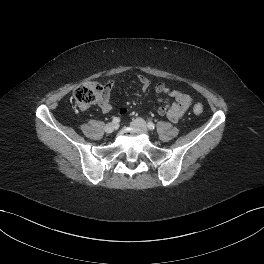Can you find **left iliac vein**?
<instances>
[{
  "mask_svg": "<svg viewBox=\"0 0 264 264\" xmlns=\"http://www.w3.org/2000/svg\"><path fill=\"white\" fill-rule=\"evenodd\" d=\"M133 127L141 129L144 133L148 134V128L146 122L142 118H136L131 122Z\"/></svg>",
  "mask_w": 264,
  "mask_h": 264,
  "instance_id": "left-iliac-vein-1",
  "label": "left iliac vein"
}]
</instances>
